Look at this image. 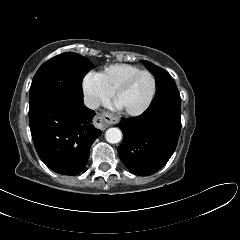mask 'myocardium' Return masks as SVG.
Masks as SVG:
<instances>
[{"instance_id":"1","label":"myocardium","mask_w":240,"mask_h":240,"mask_svg":"<svg viewBox=\"0 0 240 240\" xmlns=\"http://www.w3.org/2000/svg\"><path fill=\"white\" fill-rule=\"evenodd\" d=\"M143 74H148L151 76L152 80H153V90H152V94L149 98V100L147 101V103L142 106L139 109H135V110H129V109H125V111L131 115V116H140L143 115L144 113H146L150 107L152 106L155 97H156V93H157V88H158V81H157V77L156 75L149 71V70H141L137 73H135L134 75L130 76L125 82H123L118 89L115 91V99L118 101L119 97L126 91L128 90L131 85L134 83V81L141 75Z\"/></svg>"}]
</instances>
